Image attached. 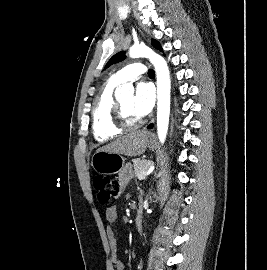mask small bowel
I'll return each mask as SVG.
<instances>
[{"mask_svg": "<svg viewBox=\"0 0 267 270\" xmlns=\"http://www.w3.org/2000/svg\"><path fill=\"white\" fill-rule=\"evenodd\" d=\"M132 178V170L130 167L126 166L119 174V182L121 184V188H125L129 181ZM105 217L107 222L111 225L116 222L118 213L116 207H108L105 211ZM107 238L109 242V247L111 251V265L114 270H124L123 263L118 259L117 256V239L115 235V231L110 226L107 229Z\"/></svg>", "mask_w": 267, "mask_h": 270, "instance_id": "c3829d8e", "label": "small bowel"}]
</instances>
